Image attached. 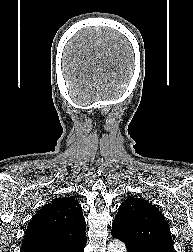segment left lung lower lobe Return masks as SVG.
Returning a JSON list of instances; mask_svg holds the SVG:
<instances>
[{"instance_id": "left-lung-lower-lobe-1", "label": "left lung lower lobe", "mask_w": 193, "mask_h": 252, "mask_svg": "<svg viewBox=\"0 0 193 252\" xmlns=\"http://www.w3.org/2000/svg\"><path fill=\"white\" fill-rule=\"evenodd\" d=\"M143 252H168V251H166V250H157V249H155V250H145V251H143Z\"/></svg>"}]
</instances>
